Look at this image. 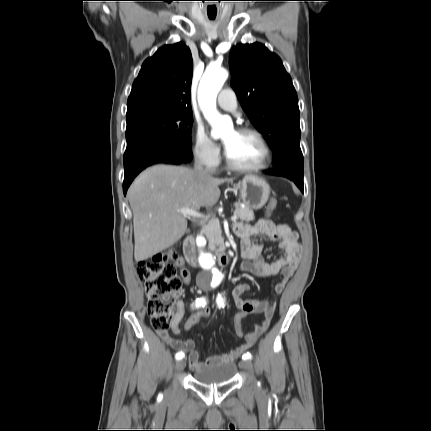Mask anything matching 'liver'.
Here are the masks:
<instances>
[{
	"label": "liver",
	"instance_id": "obj_1",
	"mask_svg": "<svg viewBox=\"0 0 431 431\" xmlns=\"http://www.w3.org/2000/svg\"><path fill=\"white\" fill-rule=\"evenodd\" d=\"M182 166L154 165L130 186L127 197L133 212L134 258L137 262L173 246L187 229L181 209L214 206L218 185L232 182Z\"/></svg>",
	"mask_w": 431,
	"mask_h": 431
}]
</instances>
